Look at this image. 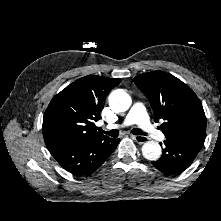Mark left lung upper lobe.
Instances as JSON below:
<instances>
[{
    "label": "left lung upper lobe",
    "mask_w": 221,
    "mask_h": 221,
    "mask_svg": "<svg viewBox=\"0 0 221 221\" xmlns=\"http://www.w3.org/2000/svg\"><path fill=\"white\" fill-rule=\"evenodd\" d=\"M134 83L148 98L155 121L166 138L205 135L206 117L194 91L178 78L163 71L143 73Z\"/></svg>",
    "instance_id": "5c2ea615"
}]
</instances>
